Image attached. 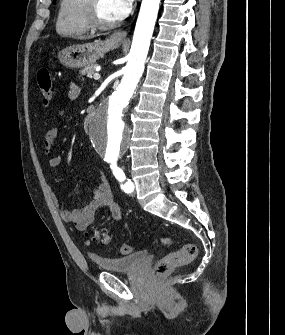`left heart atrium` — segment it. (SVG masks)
<instances>
[{
	"mask_svg": "<svg viewBox=\"0 0 285 335\" xmlns=\"http://www.w3.org/2000/svg\"><path fill=\"white\" fill-rule=\"evenodd\" d=\"M132 2L133 1H109L113 23L119 22L127 15Z\"/></svg>",
	"mask_w": 285,
	"mask_h": 335,
	"instance_id": "1",
	"label": "left heart atrium"
}]
</instances>
